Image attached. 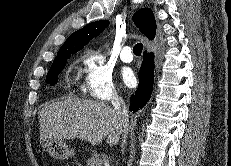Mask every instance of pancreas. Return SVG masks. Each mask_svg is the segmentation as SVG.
I'll use <instances>...</instances> for the list:
<instances>
[{
  "label": "pancreas",
  "mask_w": 231,
  "mask_h": 166,
  "mask_svg": "<svg viewBox=\"0 0 231 166\" xmlns=\"http://www.w3.org/2000/svg\"><path fill=\"white\" fill-rule=\"evenodd\" d=\"M86 166H102L103 160L96 151H94L87 160Z\"/></svg>",
  "instance_id": "pancreas-1"
}]
</instances>
